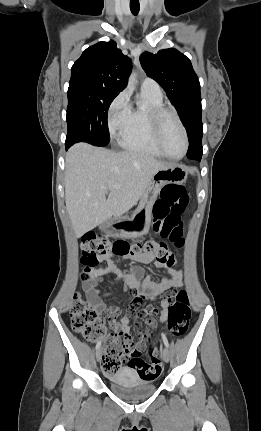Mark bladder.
<instances>
[{"label":"bladder","mask_w":261,"mask_h":431,"mask_svg":"<svg viewBox=\"0 0 261 431\" xmlns=\"http://www.w3.org/2000/svg\"><path fill=\"white\" fill-rule=\"evenodd\" d=\"M111 390L127 399H139L150 396L156 389L153 380L140 377L131 368H121L109 378Z\"/></svg>","instance_id":"obj_1"}]
</instances>
